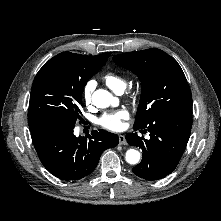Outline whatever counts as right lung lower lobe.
<instances>
[{"label":"right lung lower lobe","instance_id":"obj_1","mask_svg":"<svg viewBox=\"0 0 221 221\" xmlns=\"http://www.w3.org/2000/svg\"><path fill=\"white\" fill-rule=\"evenodd\" d=\"M73 130L50 123L36 125L31 130L34 147L44 167L55 177L66 181L91 174L101 153L119 142L116 134L102 129L93 131L88 137H76Z\"/></svg>","mask_w":221,"mask_h":221}]
</instances>
